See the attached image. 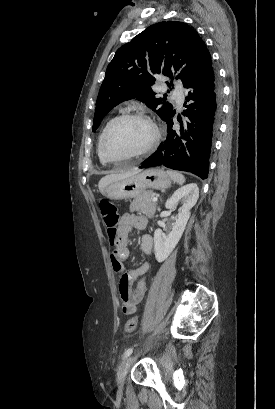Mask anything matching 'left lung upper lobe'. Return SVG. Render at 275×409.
Here are the masks:
<instances>
[{"instance_id": "5c2ea615", "label": "left lung upper lobe", "mask_w": 275, "mask_h": 409, "mask_svg": "<svg viewBox=\"0 0 275 409\" xmlns=\"http://www.w3.org/2000/svg\"><path fill=\"white\" fill-rule=\"evenodd\" d=\"M212 65L211 55L196 30L183 22L153 24L122 45L109 63L101 85L92 130L119 103L137 98L163 120L173 111L165 98L155 97L152 74L180 79L187 86ZM166 95V94H165Z\"/></svg>"}]
</instances>
